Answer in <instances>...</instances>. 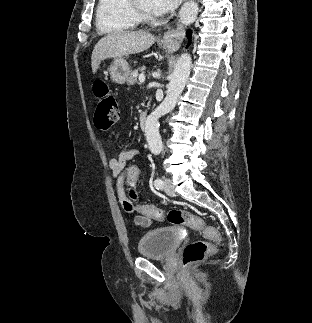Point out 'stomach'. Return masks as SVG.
Listing matches in <instances>:
<instances>
[{
  "label": "stomach",
  "mask_w": 312,
  "mask_h": 323,
  "mask_svg": "<svg viewBox=\"0 0 312 323\" xmlns=\"http://www.w3.org/2000/svg\"><path fill=\"white\" fill-rule=\"evenodd\" d=\"M109 74L113 82H116V84H124L130 74V68L126 60L116 58L109 68Z\"/></svg>",
  "instance_id": "stomach-1"
}]
</instances>
